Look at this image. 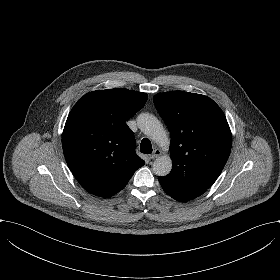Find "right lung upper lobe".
<instances>
[{
	"label": "right lung upper lobe",
	"mask_w": 280,
	"mask_h": 280,
	"mask_svg": "<svg viewBox=\"0 0 280 280\" xmlns=\"http://www.w3.org/2000/svg\"><path fill=\"white\" fill-rule=\"evenodd\" d=\"M147 98L122 88L97 90L84 95L70 111L62 134L63 152L87 192L111 197L145 164L135 153L134 133L126 121Z\"/></svg>",
	"instance_id": "obj_1"
}]
</instances>
